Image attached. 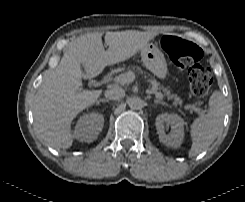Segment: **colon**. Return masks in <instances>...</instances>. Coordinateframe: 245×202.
<instances>
[{"label":"colon","mask_w":245,"mask_h":202,"mask_svg":"<svg viewBox=\"0 0 245 202\" xmlns=\"http://www.w3.org/2000/svg\"><path fill=\"white\" fill-rule=\"evenodd\" d=\"M161 47L171 63L181 72H187L191 92L195 97L208 93L213 83L212 73L200 65L201 49L194 43L176 36L165 35Z\"/></svg>","instance_id":"1"}]
</instances>
